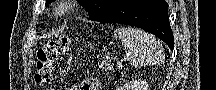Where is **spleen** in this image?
Here are the masks:
<instances>
[{
	"label": "spleen",
	"mask_w": 216,
	"mask_h": 90,
	"mask_svg": "<svg viewBox=\"0 0 216 90\" xmlns=\"http://www.w3.org/2000/svg\"><path fill=\"white\" fill-rule=\"evenodd\" d=\"M114 34L121 40L125 58L132 66H149L162 56V46L152 34L138 28H118Z\"/></svg>",
	"instance_id": "3e777b00"
}]
</instances>
